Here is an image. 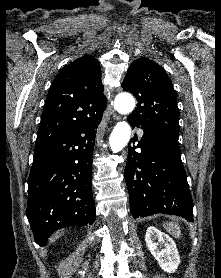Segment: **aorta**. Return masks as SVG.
I'll list each match as a JSON object with an SVG mask.
<instances>
[{
	"mask_svg": "<svg viewBox=\"0 0 221 278\" xmlns=\"http://www.w3.org/2000/svg\"><path fill=\"white\" fill-rule=\"evenodd\" d=\"M114 107L121 114H129L135 108V100L130 94L121 93L115 98ZM130 136V125L126 122H118L109 138L111 150L114 153L122 150L129 142Z\"/></svg>",
	"mask_w": 221,
	"mask_h": 278,
	"instance_id": "obj_1",
	"label": "aorta"
}]
</instances>
